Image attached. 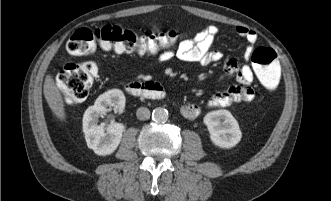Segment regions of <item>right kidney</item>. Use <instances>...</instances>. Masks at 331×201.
<instances>
[{
	"instance_id": "ca27d5eb",
	"label": "right kidney",
	"mask_w": 331,
	"mask_h": 201,
	"mask_svg": "<svg viewBox=\"0 0 331 201\" xmlns=\"http://www.w3.org/2000/svg\"><path fill=\"white\" fill-rule=\"evenodd\" d=\"M125 107V96L119 89L109 90L100 95L93 106L87 108L83 115V132L87 146L95 154L106 156L112 154L119 146L125 126L113 123L108 126L98 124L99 117H103L113 109L122 113Z\"/></svg>"
}]
</instances>
